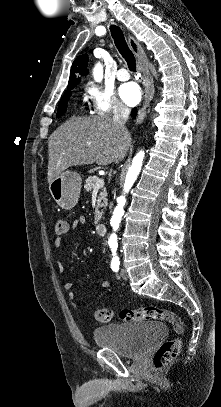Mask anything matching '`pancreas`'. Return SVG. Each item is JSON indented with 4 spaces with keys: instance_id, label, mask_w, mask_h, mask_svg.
Masks as SVG:
<instances>
[{
    "instance_id": "1",
    "label": "pancreas",
    "mask_w": 221,
    "mask_h": 407,
    "mask_svg": "<svg viewBox=\"0 0 221 407\" xmlns=\"http://www.w3.org/2000/svg\"><path fill=\"white\" fill-rule=\"evenodd\" d=\"M99 178L97 176H89L86 180H85V185H84V189L87 192H90L94 189L95 183L97 182ZM107 192L106 190L103 188L102 191L99 193V197L97 200V206L95 209V223H98L101 220L102 215L104 214V208L105 205L107 204Z\"/></svg>"
}]
</instances>
